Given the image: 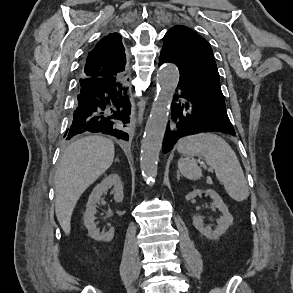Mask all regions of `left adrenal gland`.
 I'll return each mask as SVG.
<instances>
[{"instance_id": "left-adrenal-gland-1", "label": "left adrenal gland", "mask_w": 293, "mask_h": 293, "mask_svg": "<svg viewBox=\"0 0 293 293\" xmlns=\"http://www.w3.org/2000/svg\"><path fill=\"white\" fill-rule=\"evenodd\" d=\"M177 180L178 181L180 180V172H179V170H177Z\"/></svg>"}]
</instances>
